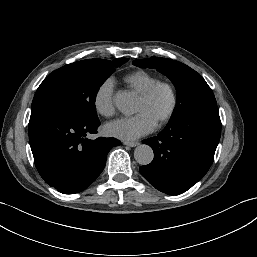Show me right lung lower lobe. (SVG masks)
<instances>
[{
  "instance_id": "obj_1",
  "label": "right lung lower lobe",
  "mask_w": 257,
  "mask_h": 257,
  "mask_svg": "<svg viewBox=\"0 0 257 257\" xmlns=\"http://www.w3.org/2000/svg\"><path fill=\"white\" fill-rule=\"evenodd\" d=\"M99 119L73 120L56 114H33L29 142L36 168L51 187L64 194L87 188L102 172L115 138L88 139L97 133Z\"/></svg>"
}]
</instances>
